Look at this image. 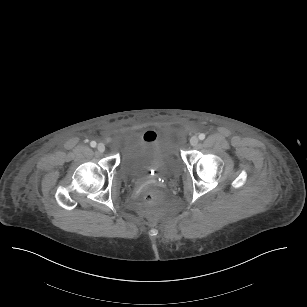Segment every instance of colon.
<instances>
[{
	"instance_id": "colon-1",
	"label": "colon",
	"mask_w": 307,
	"mask_h": 307,
	"mask_svg": "<svg viewBox=\"0 0 307 307\" xmlns=\"http://www.w3.org/2000/svg\"><path fill=\"white\" fill-rule=\"evenodd\" d=\"M158 138L159 132L157 130H148L143 134V139L147 142H154ZM145 200L151 206H158L162 202V195L158 191H151L146 194Z\"/></svg>"
}]
</instances>
